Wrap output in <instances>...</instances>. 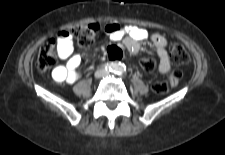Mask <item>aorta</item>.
Instances as JSON below:
<instances>
[{
	"mask_svg": "<svg viewBox=\"0 0 225 155\" xmlns=\"http://www.w3.org/2000/svg\"><path fill=\"white\" fill-rule=\"evenodd\" d=\"M115 70L119 74L123 73L125 71V66L123 64H118Z\"/></svg>",
	"mask_w": 225,
	"mask_h": 155,
	"instance_id": "762f6f07",
	"label": "aorta"
}]
</instances>
